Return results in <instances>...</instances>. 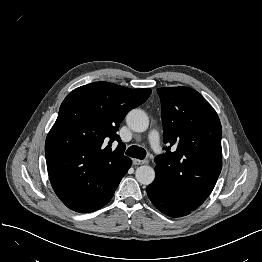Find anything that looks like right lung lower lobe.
<instances>
[{
	"instance_id": "98d812e1",
	"label": "right lung lower lobe",
	"mask_w": 262,
	"mask_h": 262,
	"mask_svg": "<svg viewBox=\"0 0 262 262\" xmlns=\"http://www.w3.org/2000/svg\"><path fill=\"white\" fill-rule=\"evenodd\" d=\"M131 163H132V161L126 167L125 174L127 173L128 169L130 168ZM113 194H114V192L111 193L107 198H105V199H103L101 201H98V202H92V203H64V204L68 208H70L71 210H74L76 212L88 213V212H92V211L98 210L101 207H103L104 205H106L110 201V199L112 198Z\"/></svg>"
}]
</instances>
